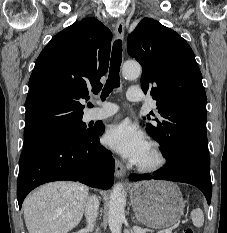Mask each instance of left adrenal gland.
Instances as JSON below:
<instances>
[{"label": "left adrenal gland", "mask_w": 227, "mask_h": 233, "mask_svg": "<svg viewBox=\"0 0 227 233\" xmlns=\"http://www.w3.org/2000/svg\"><path fill=\"white\" fill-rule=\"evenodd\" d=\"M132 220H133L135 223H137V221L135 220V217H134V216H132Z\"/></svg>", "instance_id": "obj_1"}]
</instances>
